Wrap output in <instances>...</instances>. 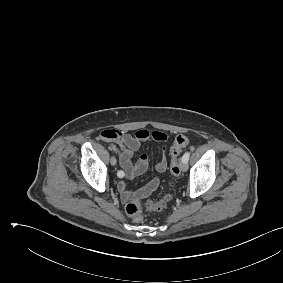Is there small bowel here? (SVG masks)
Returning a JSON list of instances; mask_svg holds the SVG:
<instances>
[{"label": "small bowel", "instance_id": "small-bowel-1", "mask_svg": "<svg viewBox=\"0 0 283 283\" xmlns=\"http://www.w3.org/2000/svg\"><path fill=\"white\" fill-rule=\"evenodd\" d=\"M100 138L107 142H115L120 146V151L117 149L119 154V162L124 170V176L128 179H132L143 172L148 167V157L142 154L136 163L132 162L134 152H136L141 144L145 141H157L163 145L165 149L167 135L160 131H148L141 129L130 134L117 129H104L100 133ZM167 159L163 156L156 165L158 173H164L167 169ZM159 177L152 178L146 185L141 187L135 192L128 189V185L125 181H121L118 184V189L121 194L123 201H129L132 198H145L150 195L159 185Z\"/></svg>", "mask_w": 283, "mask_h": 283}]
</instances>
